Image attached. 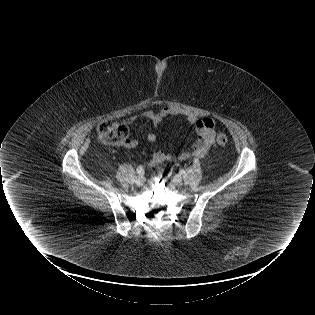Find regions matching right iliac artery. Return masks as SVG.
<instances>
[{
  "label": "right iliac artery",
  "mask_w": 315,
  "mask_h": 315,
  "mask_svg": "<svg viewBox=\"0 0 315 315\" xmlns=\"http://www.w3.org/2000/svg\"><path fill=\"white\" fill-rule=\"evenodd\" d=\"M137 173H138L139 175H143V174H144V167L140 165V166L137 168Z\"/></svg>",
  "instance_id": "82829eb1"
}]
</instances>
